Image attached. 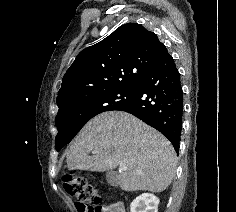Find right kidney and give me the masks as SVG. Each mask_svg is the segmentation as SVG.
Masks as SVG:
<instances>
[{
    "instance_id": "right-kidney-1",
    "label": "right kidney",
    "mask_w": 236,
    "mask_h": 212,
    "mask_svg": "<svg viewBox=\"0 0 236 212\" xmlns=\"http://www.w3.org/2000/svg\"><path fill=\"white\" fill-rule=\"evenodd\" d=\"M159 198L150 193H143L130 204V212H158Z\"/></svg>"
}]
</instances>
